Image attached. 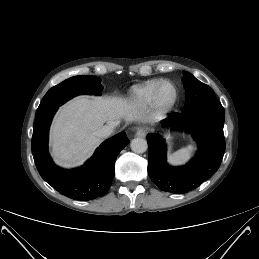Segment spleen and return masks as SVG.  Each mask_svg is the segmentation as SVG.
<instances>
[{"mask_svg":"<svg viewBox=\"0 0 259 259\" xmlns=\"http://www.w3.org/2000/svg\"><path fill=\"white\" fill-rule=\"evenodd\" d=\"M192 146L188 145L174 152L169 157V162L174 165L185 163L191 156Z\"/></svg>","mask_w":259,"mask_h":259,"instance_id":"obj_1","label":"spleen"}]
</instances>
